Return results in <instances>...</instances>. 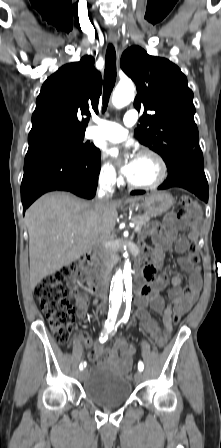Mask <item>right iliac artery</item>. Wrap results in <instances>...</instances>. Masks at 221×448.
<instances>
[{
    "instance_id": "right-iliac-artery-1",
    "label": "right iliac artery",
    "mask_w": 221,
    "mask_h": 448,
    "mask_svg": "<svg viewBox=\"0 0 221 448\" xmlns=\"http://www.w3.org/2000/svg\"><path fill=\"white\" fill-rule=\"evenodd\" d=\"M115 321H116V317L111 316L110 319L108 317V319L105 322V326H104L105 327V331L101 334V337H100V342L106 341V339H107L106 335L113 330L114 325H115ZM85 366H86L85 362L81 363L80 366H79V369L82 370Z\"/></svg>"
}]
</instances>
